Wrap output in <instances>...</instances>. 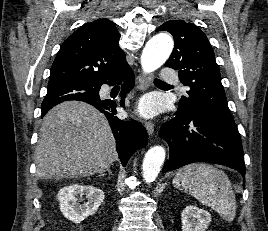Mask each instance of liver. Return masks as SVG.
Segmentation results:
<instances>
[{
    "instance_id": "6515ba94",
    "label": "liver",
    "mask_w": 268,
    "mask_h": 231,
    "mask_svg": "<svg viewBox=\"0 0 268 231\" xmlns=\"http://www.w3.org/2000/svg\"><path fill=\"white\" fill-rule=\"evenodd\" d=\"M116 159L109 123L93 106L80 101L63 102L43 118L36 148L38 178L92 176L102 173Z\"/></svg>"
}]
</instances>
